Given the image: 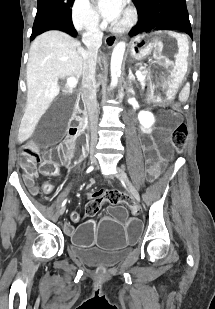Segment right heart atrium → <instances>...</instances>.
<instances>
[{"label":"right heart atrium","mask_w":215,"mask_h":309,"mask_svg":"<svg viewBox=\"0 0 215 309\" xmlns=\"http://www.w3.org/2000/svg\"><path fill=\"white\" fill-rule=\"evenodd\" d=\"M74 3L77 5L73 9V28L83 34L99 30L101 27L100 17L89 6V0H74Z\"/></svg>","instance_id":"obj_1"}]
</instances>
